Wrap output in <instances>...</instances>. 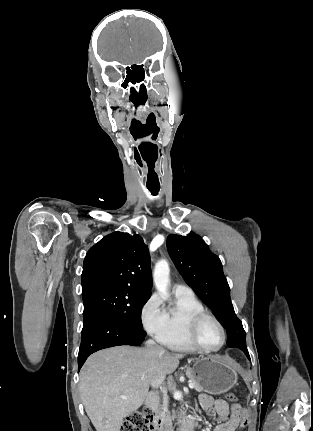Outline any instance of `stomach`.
<instances>
[{
    "instance_id": "obj_1",
    "label": "stomach",
    "mask_w": 313,
    "mask_h": 431,
    "mask_svg": "<svg viewBox=\"0 0 313 431\" xmlns=\"http://www.w3.org/2000/svg\"><path fill=\"white\" fill-rule=\"evenodd\" d=\"M189 372L207 393L222 394L229 391L237 383L235 369L217 356L199 357L192 360Z\"/></svg>"
}]
</instances>
